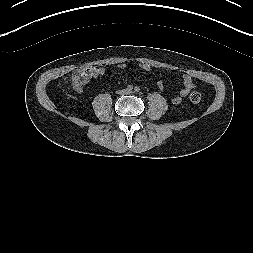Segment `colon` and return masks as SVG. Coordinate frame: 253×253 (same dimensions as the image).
Listing matches in <instances>:
<instances>
[{"mask_svg":"<svg viewBox=\"0 0 253 253\" xmlns=\"http://www.w3.org/2000/svg\"><path fill=\"white\" fill-rule=\"evenodd\" d=\"M89 74H90V69L88 68H82L79 71H77L71 78V84L73 88L74 89L79 88V87L82 88L85 81L88 79ZM189 98L193 103H198L200 102L202 95L198 90H193L190 93Z\"/></svg>","mask_w":253,"mask_h":253,"instance_id":"1","label":"colon"}]
</instances>
